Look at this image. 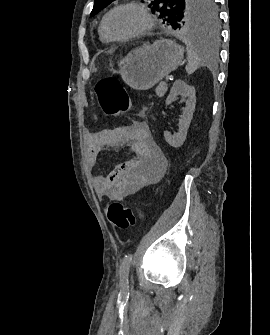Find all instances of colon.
<instances>
[{
  "mask_svg": "<svg viewBox=\"0 0 270 335\" xmlns=\"http://www.w3.org/2000/svg\"><path fill=\"white\" fill-rule=\"evenodd\" d=\"M94 91L105 113L116 115L128 111L131 107L128 93L115 78L104 79L95 85ZM107 217L115 228L124 230L142 221L145 211L140 207H129L120 201H112L107 208Z\"/></svg>",
  "mask_w": 270,
  "mask_h": 335,
  "instance_id": "5ec220e1",
  "label": "colon"
}]
</instances>
